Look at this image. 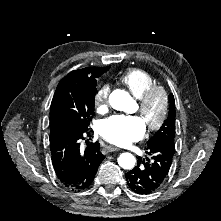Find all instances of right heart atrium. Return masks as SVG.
I'll return each mask as SVG.
<instances>
[{
  "mask_svg": "<svg viewBox=\"0 0 221 221\" xmlns=\"http://www.w3.org/2000/svg\"><path fill=\"white\" fill-rule=\"evenodd\" d=\"M110 86L104 84L100 86L94 94V107L101 111L104 110L109 104Z\"/></svg>",
  "mask_w": 221,
  "mask_h": 221,
  "instance_id": "right-heart-atrium-1",
  "label": "right heart atrium"
}]
</instances>
